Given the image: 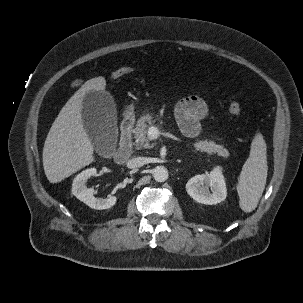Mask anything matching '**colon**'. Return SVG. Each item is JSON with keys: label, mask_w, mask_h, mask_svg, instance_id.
<instances>
[{"label": "colon", "mask_w": 303, "mask_h": 303, "mask_svg": "<svg viewBox=\"0 0 303 303\" xmlns=\"http://www.w3.org/2000/svg\"><path fill=\"white\" fill-rule=\"evenodd\" d=\"M133 70L134 68L128 66L119 67L110 74V78L118 79L124 75L131 73ZM228 110L235 117H240L243 114L242 108L239 102L236 100L230 101Z\"/></svg>", "instance_id": "5ec220e1"}]
</instances>
